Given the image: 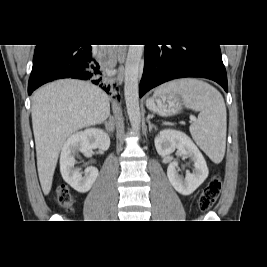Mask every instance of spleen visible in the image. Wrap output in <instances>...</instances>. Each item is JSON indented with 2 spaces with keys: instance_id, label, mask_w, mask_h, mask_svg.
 <instances>
[{
  "instance_id": "spleen-1",
  "label": "spleen",
  "mask_w": 267,
  "mask_h": 267,
  "mask_svg": "<svg viewBox=\"0 0 267 267\" xmlns=\"http://www.w3.org/2000/svg\"><path fill=\"white\" fill-rule=\"evenodd\" d=\"M179 93L187 108L199 111L198 119L190 125L196 144L216 164L226 149V107L221 93L212 85L194 78L178 79L156 89L154 96Z\"/></svg>"
}]
</instances>
